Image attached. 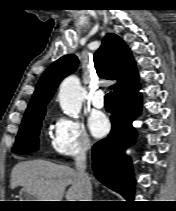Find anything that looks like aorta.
I'll list each match as a JSON object with an SVG mask.
<instances>
[{"instance_id": "obj_1", "label": "aorta", "mask_w": 176, "mask_h": 211, "mask_svg": "<svg viewBox=\"0 0 176 211\" xmlns=\"http://www.w3.org/2000/svg\"><path fill=\"white\" fill-rule=\"evenodd\" d=\"M59 103L61 109L70 117H78L82 107V90L76 76L67 77L60 85Z\"/></svg>"}]
</instances>
